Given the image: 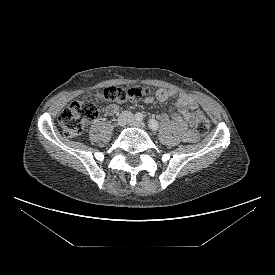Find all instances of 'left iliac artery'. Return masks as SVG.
<instances>
[{
    "label": "left iliac artery",
    "instance_id": "obj_1",
    "mask_svg": "<svg viewBox=\"0 0 275 275\" xmlns=\"http://www.w3.org/2000/svg\"><path fill=\"white\" fill-rule=\"evenodd\" d=\"M148 125L152 130H158L159 128V124L155 119H150Z\"/></svg>",
    "mask_w": 275,
    "mask_h": 275
}]
</instances>
